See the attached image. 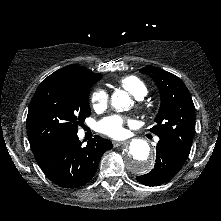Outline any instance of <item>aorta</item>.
I'll use <instances>...</instances> for the list:
<instances>
[{
	"label": "aorta",
	"instance_id": "762f6f07",
	"mask_svg": "<svg viewBox=\"0 0 221 221\" xmlns=\"http://www.w3.org/2000/svg\"><path fill=\"white\" fill-rule=\"evenodd\" d=\"M130 105V98L125 91L118 90L112 95V106L115 109H126ZM126 168L135 174H145L153 167L150 158V146L143 139H132L123 154Z\"/></svg>",
	"mask_w": 221,
	"mask_h": 221
}]
</instances>
